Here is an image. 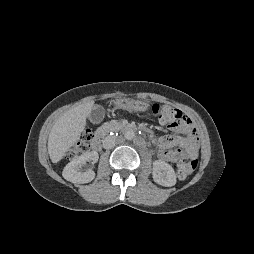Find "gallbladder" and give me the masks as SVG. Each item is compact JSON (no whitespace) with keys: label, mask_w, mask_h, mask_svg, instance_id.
I'll list each match as a JSON object with an SVG mask.
<instances>
[{"label":"gallbladder","mask_w":254,"mask_h":254,"mask_svg":"<svg viewBox=\"0 0 254 254\" xmlns=\"http://www.w3.org/2000/svg\"><path fill=\"white\" fill-rule=\"evenodd\" d=\"M105 116V109L101 105H95L89 114L88 118L91 123L97 124L100 123Z\"/></svg>","instance_id":"gallbladder-1"}]
</instances>
